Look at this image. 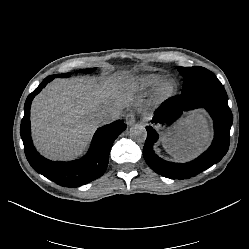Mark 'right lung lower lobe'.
I'll list each match as a JSON object with an SVG mask.
<instances>
[{
  "label": "right lung lower lobe",
  "mask_w": 249,
  "mask_h": 249,
  "mask_svg": "<svg viewBox=\"0 0 249 249\" xmlns=\"http://www.w3.org/2000/svg\"><path fill=\"white\" fill-rule=\"evenodd\" d=\"M54 79V78H53ZM46 77L42 83L28 95L24 105V117L20 134L24 144L26 158L32 168L46 178L64 187H78L87 184L106 171L109 153L114 140L126 129L123 121L117 120L99 128L92 139L90 148L81 159L70 162L50 161L35 149L30 131V107L34 97L53 80Z\"/></svg>",
  "instance_id": "98d812e1"
}]
</instances>
